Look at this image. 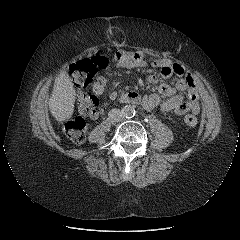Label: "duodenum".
Segmentation results:
<instances>
[{"label": "duodenum", "instance_id": "obj_1", "mask_svg": "<svg viewBox=\"0 0 240 240\" xmlns=\"http://www.w3.org/2000/svg\"><path fill=\"white\" fill-rule=\"evenodd\" d=\"M120 101L129 104H141L140 96L135 92H130L121 96Z\"/></svg>", "mask_w": 240, "mask_h": 240}]
</instances>
